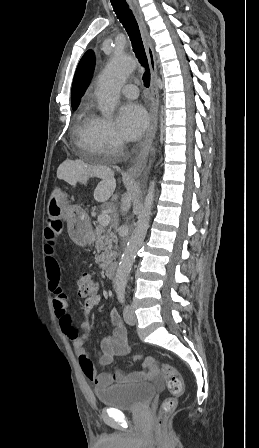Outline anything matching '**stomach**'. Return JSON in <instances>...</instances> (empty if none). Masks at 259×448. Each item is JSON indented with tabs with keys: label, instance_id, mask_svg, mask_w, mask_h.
Returning a JSON list of instances; mask_svg holds the SVG:
<instances>
[{
	"label": "stomach",
	"instance_id": "stomach-1",
	"mask_svg": "<svg viewBox=\"0 0 259 448\" xmlns=\"http://www.w3.org/2000/svg\"><path fill=\"white\" fill-rule=\"evenodd\" d=\"M60 188H54L47 204V214L50 218H62L67 221L69 234L78 246H86L91 242L92 228L88 212H84L83 206H64L61 208V198H64Z\"/></svg>",
	"mask_w": 259,
	"mask_h": 448
}]
</instances>
